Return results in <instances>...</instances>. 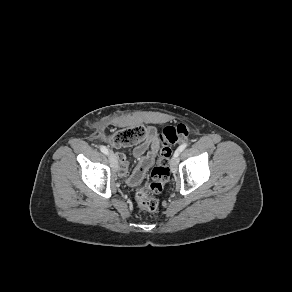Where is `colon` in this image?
Instances as JSON below:
<instances>
[{
	"mask_svg": "<svg viewBox=\"0 0 292 292\" xmlns=\"http://www.w3.org/2000/svg\"><path fill=\"white\" fill-rule=\"evenodd\" d=\"M147 130L143 126H135L121 129L109 137L113 146L121 147L133 144L145 138ZM189 135L185 125L165 127L158 135L162 147L156 166L151 172V181L147 188L136 193L135 199L138 205L146 211H154L158 207V201L154 195L159 194L167 182L170 170L169 160L171 156V145L182 142Z\"/></svg>",
	"mask_w": 292,
	"mask_h": 292,
	"instance_id": "5ec220e1",
	"label": "colon"
}]
</instances>
